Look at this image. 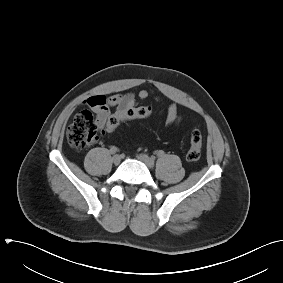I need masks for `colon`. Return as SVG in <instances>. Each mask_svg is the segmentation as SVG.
<instances>
[{
	"label": "colon",
	"instance_id": "obj_1",
	"mask_svg": "<svg viewBox=\"0 0 283 283\" xmlns=\"http://www.w3.org/2000/svg\"><path fill=\"white\" fill-rule=\"evenodd\" d=\"M152 109L148 106H134L121 112L112 114L102 133L113 132L121 122L135 118H147L151 116ZM66 137L69 145L75 149H83L93 144L98 138V127L92 113L88 110L79 112L68 126ZM202 154V135L197 129L190 136V147L187 152L189 161H197Z\"/></svg>",
	"mask_w": 283,
	"mask_h": 283
}]
</instances>
